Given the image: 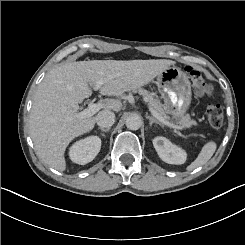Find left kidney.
<instances>
[{"label": "left kidney", "instance_id": "obj_1", "mask_svg": "<svg viewBox=\"0 0 245 245\" xmlns=\"http://www.w3.org/2000/svg\"><path fill=\"white\" fill-rule=\"evenodd\" d=\"M153 146L159 158L168 164H184L187 160V151L174 144L170 139L157 136L152 140Z\"/></svg>", "mask_w": 245, "mask_h": 245}]
</instances>
